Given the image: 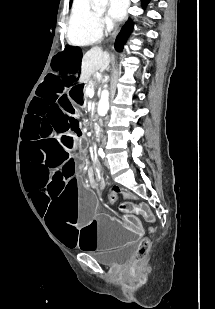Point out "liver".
Returning a JSON list of instances; mask_svg holds the SVG:
<instances>
[{
    "label": "liver",
    "mask_w": 215,
    "mask_h": 309,
    "mask_svg": "<svg viewBox=\"0 0 215 309\" xmlns=\"http://www.w3.org/2000/svg\"><path fill=\"white\" fill-rule=\"evenodd\" d=\"M110 54L107 50H102L101 46H92L90 50L85 52L82 58L81 74L79 82H87L90 80L91 74L100 70L103 72L109 66Z\"/></svg>",
    "instance_id": "1"
}]
</instances>
